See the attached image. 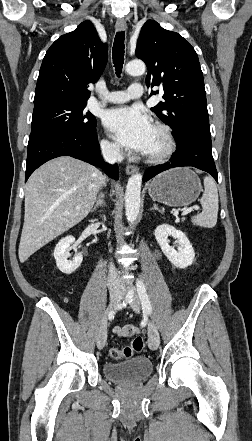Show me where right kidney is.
I'll return each instance as SVG.
<instances>
[{"mask_svg": "<svg viewBox=\"0 0 252 441\" xmlns=\"http://www.w3.org/2000/svg\"><path fill=\"white\" fill-rule=\"evenodd\" d=\"M75 242L73 236H66L62 238L56 245L54 249V258L56 260L57 268L64 274L73 273L83 261V256L81 253L76 254L72 261L68 260L69 252L68 248Z\"/></svg>", "mask_w": 252, "mask_h": 441, "instance_id": "ca27d5eb", "label": "right kidney"}]
</instances>
